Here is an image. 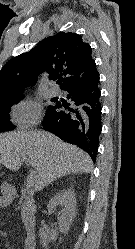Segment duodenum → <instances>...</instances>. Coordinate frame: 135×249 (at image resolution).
Listing matches in <instances>:
<instances>
[{
  "mask_svg": "<svg viewBox=\"0 0 135 249\" xmlns=\"http://www.w3.org/2000/svg\"><path fill=\"white\" fill-rule=\"evenodd\" d=\"M21 195L25 198V199H30V192L27 189L22 190ZM32 230H33V226L32 224L28 225V231H29V239H28V247L29 248H33L35 245V239L32 237Z\"/></svg>",
  "mask_w": 135,
  "mask_h": 249,
  "instance_id": "410a0bca",
  "label": "duodenum"
}]
</instances>
